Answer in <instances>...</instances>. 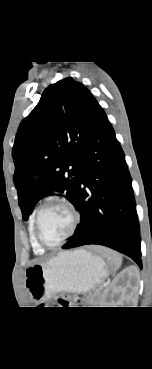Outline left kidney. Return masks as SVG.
<instances>
[{
	"mask_svg": "<svg viewBox=\"0 0 152 369\" xmlns=\"http://www.w3.org/2000/svg\"><path fill=\"white\" fill-rule=\"evenodd\" d=\"M139 273L134 266L123 270L101 296V307H118L129 298L128 289L137 290L139 286Z\"/></svg>",
	"mask_w": 152,
	"mask_h": 369,
	"instance_id": "1",
	"label": "left kidney"
}]
</instances>
